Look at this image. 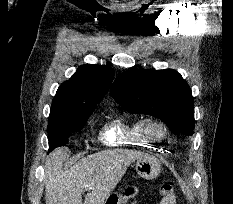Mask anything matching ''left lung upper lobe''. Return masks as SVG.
<instances>
[{
    "mask_svg": "<svg viewBox=\"0 0 233 204\" xmlns=\"http://www.w3.org/2000/svg\"><path fill=\"white\" fill-rule=\"evenodd\" d=\"M111 94L129 113L159 118L174 134L194 133L191 89L173 69L128 70L115 79Z\"/></svg>",
    "mask_w": 233,
    "mask_h": 204,
    "instance_id": "obj_1",
    "label": "left lung upper lobe"
}]
</instances>
